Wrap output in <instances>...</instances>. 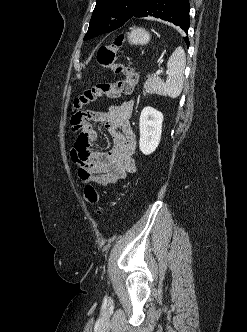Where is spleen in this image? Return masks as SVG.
I'll list each match as a JSON object with an SVG mask.
<instances>
[{
    "label": "spleen",
    "instance_id": "obj_1",
    "mask_svg": "<svg viewBox=\"0 0 247 332\" xmlns=\"http://www.w3.org/2000/svg\"><path fill=\"white\" fill-rule=\"evenodd\" d=\"M186 65L185 52L177 47L167 62V79L158 87L157 93L171 98H177L183 89L184 69Z\"/></svg>",
    "mask_w": 247,
    "mask_h": 332
}]
</instances>
